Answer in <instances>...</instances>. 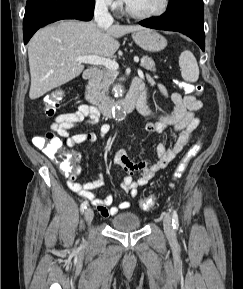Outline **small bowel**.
<instances>
[{
    "mask_svg": "<svg viewBox=\"0 0 243 289\" xmlns=\"http://www.w3.org/2000/svg\"><path fill=\"white\" fill-rule=\"evenodd\" d=\"M153 85V80L147 77L146 84L136 79L132 87H142L147 93V88ZM158 89L163 96H167L164 86L158 85ZM170 99L174 107L169 113L156 115L147 105L146 100L141 111L142 114L151 118L146 128L149 133L156 137L165 134L168 125L173 126L172 142H161L156 145V161L141 160L134 162L122 149L114 154L113 162L127 173L122 180L121 187L124 192L129 193L132 197H136L140 187L145 186L160 170L171 164L173 159L189 143L193 132L199 125L200 120L197 113L203 106L200 100L191 94L182 95L179 92L172 93ZM99 119L100 114L95 108L87 104H81L74 112L58 115L50 126V133L59 139L64 138L66 140V146L71 149L77 164L68 178V187L80 197L90 201L102 216L109 217L116 215L119 210L128 209L131 206L130 202L123 201L118 206H112L113 196L111 194L103 199L97 197L95 190L104 185L101 161L98 163L99 176L96 180L86 183L77 182V178L81 173V154L73 149L79 144L94 143L104 138L110 132V125L102 124L98 134L93 132L70 133L71 130L80 125H94ZM135 175H138V177L134 178Z\"/></svg>",
    "mask_w": 243,
    "mask_h": 289,
    "instance_id": "obj_1",
    "label": "small bowel"
}]
</instances>
